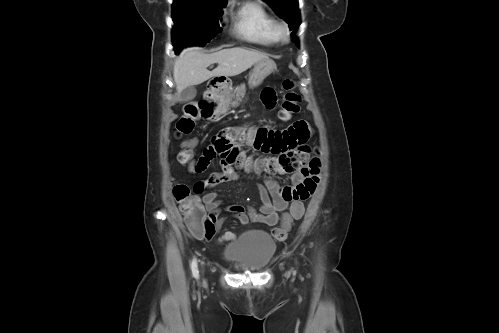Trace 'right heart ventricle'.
Instances as JSON below:
<instances>
[{
  "mask_svg": "<svg viewBox=\"0 0 499 333\" xmlns=\"http://www.w3.org/2000/svg\"><path fill=\"white\" fill-rule=\"evenodd\" d=\"M235 34L242 40L260 46L278 42L276 19L260 0H247L232 13Z\"/></svg>",
  "mask_w": 499,
  "mask_h": 333,
  "instance_id": "right-heart-ventricle-1",
  "label": "right heart ventricle"
}]
</instances>
